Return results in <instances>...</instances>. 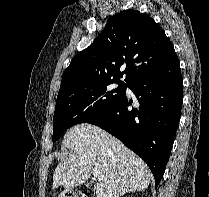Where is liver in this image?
<instances>
[{"label":"liver","instance_id":"liver-1","mask_svg":"<svg viewBox=\"0 0 209 197\" xmlns=\"http://www.w3.org/2000/svg\"><path fill=\"white\" fill-rule=\"evenodd\" d=\"M62 145L70 154L56 167L52 189L79 186L95 168L103 175L94 186L96 197H120L128 192L144 191L149 186L151 172L145 162L95 125L85 123L70 128ZM65 190L58 197H63Z\"/></svg>","mask_w":209,"mask_h":197}]
</instances>
